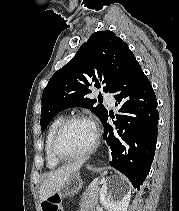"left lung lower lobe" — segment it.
Listing matches in <instances>:
<instances>
[{
  "instance_id": "1",
  "label": "left lung lower lobe",
  "mask_w": 179,
  "mask_h": 211,
  "mask_svg": "<svg viewBox=\"0 0 179 211\" xmlns=\"http://www.w3.org/2000/svg\"><path fill=\"white\" fill-rule=\"evenodd\" d=\"M111 93L121 115L116 116L115 128L103 119L104 140L112 150L110 165L124 174L139 190L153 162L157 133V100L147 76L132 53Z\"/></svg>"
}]
</instances>
